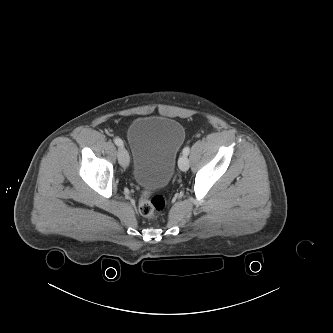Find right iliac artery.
Listing matches in <instances>:
<instances>
[{
    "label": "right iliac artery",
    "instance_id": "82829eb1",
    "mask_svg": "<svg viewBox=\"0 0 333 333\" xmlns=\"http://www.w3.org/2000/svg\"><path fill=\"white\" fill-rule=\"evenodd\" d=\"M114 143L119 146V147H123V141L120 138H114Z\"/></svg>",
    "mask_w": 333,
    "mask_h": 333
}]
</instances>
